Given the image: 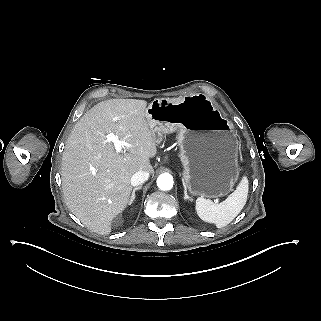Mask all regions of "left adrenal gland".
Instances as JSON below:
<instances>
[{"label": "left adrenal gland", "mask_w": 321, "mask_h": 321, "mask_svg": "<svg viewBox=\"0 0 321 321\" xmlns=\"http://www.w3.org/2000/svg\"><path fill=\"white\" fill-rule=\"evenodd\" d=\"M184 199H189V196L187 194V188L184 187Z\"/></svg>", "instance_id": "a2214340"}]
</instances>
